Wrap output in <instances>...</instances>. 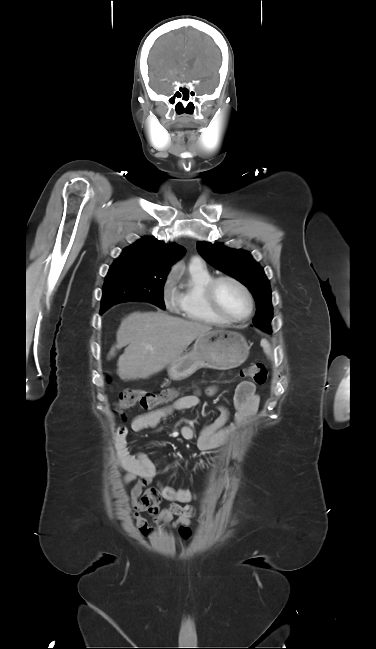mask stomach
Listing matches in <instances>:
<instances>
[{"instance_id":"0dacf381","label":"stomach","mask_w":376,"mask_h":649,"mask_svg":"<svg viewBox=\"0 0 376 649\" xmlns=\"http://www.w3.org/2000/svg\"><path fill=\"white\" fill-rule=\"evenodd\" d=\"M249 355L245 338L234 331L210 330L200 334L192 350L168 365L172 380L181 381L200 368L228 370L244 363Z\"/></svg>"}]
</instances>
